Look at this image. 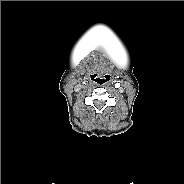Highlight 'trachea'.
<instances>
[{
	"label": "trachea",
	"instance_id": "trachea-1",
	"mask_svg": "<svg viewBox=\"0 0 184 184\" xmlns=\"http://www.w3.org/2000/svg\"><path fill=\"white\" fill-rule=\"evenodd\" d=\"M98 83L101 85V84H103V82L102 81H98Z\"/></svg>",
	"mask_w": 184,
	"mask_h": 184
}]
</instances>
